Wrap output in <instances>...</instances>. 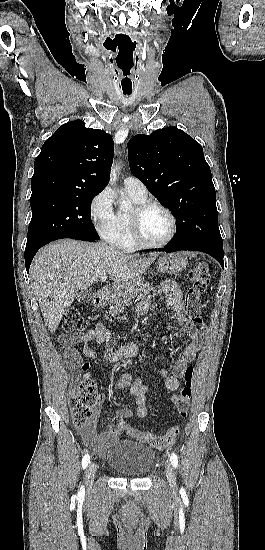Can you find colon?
I'll return each instance as SVG.
<instances>
[{
  "mask_svg": "<svg viewBox=\"0 0 265 550\" xmlns=\"http://www.w3.org/2000/svg\"><path fill=\"white\" fill-rule=\"evenodd\" d=\"M188 289L185 297L186 313L191 322L197 326L203 325L202 298L209 282L208 265L204 262L194 265L188 272ZM87 328V321L77 308L66 311L62 329L65 333H79ZM84 369L87 364H84ZM193 366H188L184 372V385L181 390L172 396V402L177 413L185 417L188 414L192 396ZM103 400V394L98 390L90 376L85 375L77 388L72 391L69 406L72 412L73 423L76 427L86 428L95 422L96 414ZM112 435H130L138 438L157 449L170 447L178 438L180 428L172 425L166 433L157 436L149 431H136L123 418L114 417L109 426Z\"/></svg>",
  "mask_w": 265,
  "mask_h": 550,
  "instance_id": "1",
  "label": "colon"
}]
</instances>
